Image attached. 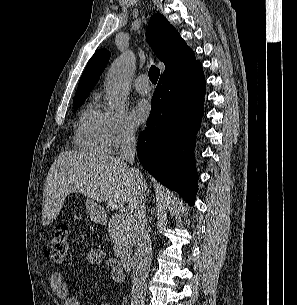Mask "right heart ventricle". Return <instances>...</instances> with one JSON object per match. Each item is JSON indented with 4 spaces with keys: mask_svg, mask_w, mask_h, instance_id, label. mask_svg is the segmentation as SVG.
I'll return each mask as SVG.
<instances>
[{
    "mask_svg": "<svg viewBox=\"0 0 297 305\" xmlns=\"http://www.w3.org/2000/svg\"><path fill=\"white\" fill-rule=\"evenodd\" d=\"M107 115L94 102L88 103L81 110L74 131V140L79 149L97 154L109 151Z\"/></svg>",
    "mask_w": 297,
    "mask_h": 305,
    "instance_id": "right-heart-ventricle-1",
    "label": "right heart ventricle"
}]
</instances>
